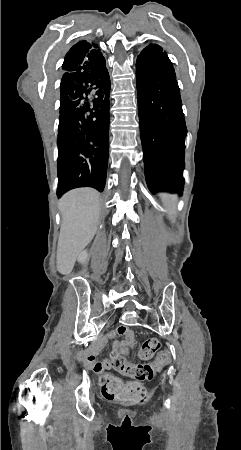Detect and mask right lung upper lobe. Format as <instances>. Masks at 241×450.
<instances>
[{
  "instance_id": "right-lung-upper-lobe-1",
  "label": "right lung upper lobe",
  "mask_w": 241,
  "mask_h": 450,
  "mask_svg": "<svg viewBox=\"0 0 241 450\" xmlns=\"http://www.w3.org/2000/svg\"><path fill=\"white\" fill-rule=\"evenodd\" d=\"M104 60L105 58L96 43L82 40L68 51L62 69L64 72H73L81 67L99 65Z\"/></svg>"
}]
</instances>
